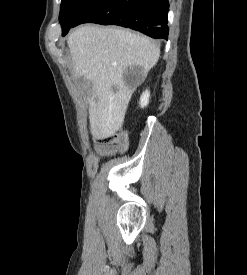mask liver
Segmentation results:
<instances>
[{
	"mask_svg": "<svg viewBox=\"0 0 247 275\" xmlns=\"http://www.w3.org/2000/svg\"><path fill=\"white\" fill-rule=\"evenodd\" d=\"M67 44L75 77H83L89 90L91 135L104 139L124 123L126 110L137 85L128 86V67H141L147 76L157 63L160 48L150 38L115 27L85 25L73 31Z\"/></svg>",
	"mask_w": 247,
	"mask_h": 275,
	"instance_id": "1",
	"label": "liver"
}]
</instances>
